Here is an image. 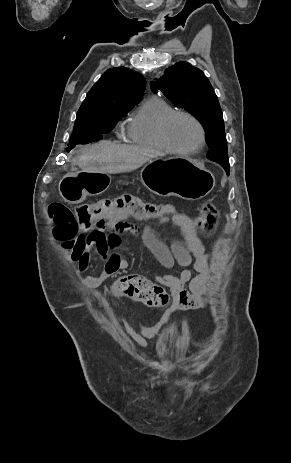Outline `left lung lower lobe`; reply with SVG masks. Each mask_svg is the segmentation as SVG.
Here are the masks:
<instances>
[{
    "instance_id": "left-lung-lower-lobe-1",
    "label": "left lung lower lobe",
    "mask_w": 291,
    "mask_h": 463,
    "mask_svg": "<svg viewBox=\"0 0 291 463\" xmlns=\"http://www.w3.org/2000/svg\"><path fill=\"white\" fill-rule=\"evenodd\" d=\"M217 163H219L225 169L226 173L229 174V169H230L229 163H226L223 161H218Z\"/></svg>"
}]
</instances>
